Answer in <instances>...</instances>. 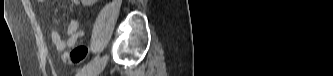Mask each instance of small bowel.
Instances as JSON below:
<instances>
[{"mask_svg":"<svg viewBox=\"0 0 333 76\" xmlns=\"http://www.w3.org/2000/svg\"><path fill=\"white\" fill-rule=\"evenodd\" d=\"M75 5H78L80 1L73 0ZM84 35V31L79 28V22L77 19H72L67 27V38L64 39L61 34L57 30H53L51 32V39L56 47V49L60 52L67 50L68 48L73 47L78 39H80Z\"/></svg>","mask_w":333,"mask_h":76,"instance_id":"1","label":"small bowel"}]
</instances>
